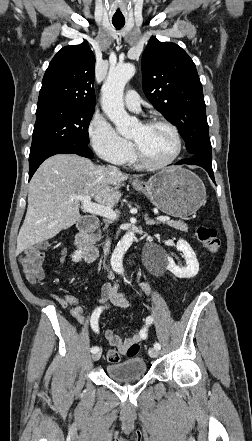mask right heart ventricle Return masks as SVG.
Instances as JSON below:
<instances>
[{
    "label": "right heart ventricle",
    "mask_w": 252,
    "mask_h": 441,
    "mask_svg": "<svg viewBox=\"0 0 252 441\" xmlns=\"http://www.w3.org/2000/svg\"><path fill=\"white\" fill-rule=\"evenodd\" d=\"M126 163H129L130 165H133L135 167H139V163L137 161V159L135 158V156L131 155V157L127 160Z\"/></svg>",
    "instance_id": "1"
}]
</instances>
